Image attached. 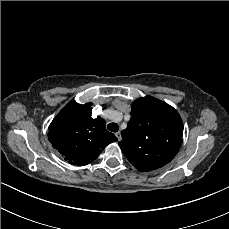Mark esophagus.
I'll return each instance as SVG.
<instances>
[{
	"label": "esophagus",
	"instance_id": "esophagus-1",
	"mask_svg": "<svg viewBox=\"0 0 229 229\" xmlns=\"http://www.w3.org/2000/svg\"><path fill=\"white\" fill-rule=\"evenodd\" d=\"M115 135L119 141L122 139L120 131L116 132Z\"/></svg>",
	"mask_w": 229,
	"mask_h": 229
}]
</instances>
